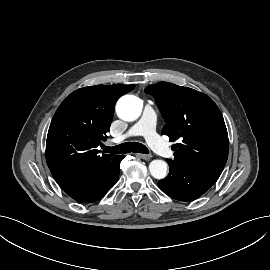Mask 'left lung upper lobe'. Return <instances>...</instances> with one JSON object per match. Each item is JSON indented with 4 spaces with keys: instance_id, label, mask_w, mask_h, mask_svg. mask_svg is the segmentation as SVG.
Returning <instances> with one entry per match:
<instances>
[{
    "instance_id": "5c2ea615",
    "label": "left lung upper lobe",
    "mask_w": 270,
    "mask_h": 270,
    "mask_svg": "<svg viewBox=\"0 0 270 270\" xmlns=\"http://www.w3.org/2000/svg\"><path fill=\"white\" fill-rule=\"evenodd\" d=\"M166 122L162 134L171 141L174 159L186 167L220 175L228 158V133L223 116L210 97L188 87L167 82L148 86Z\"/></svg>"
}]
</instances>
